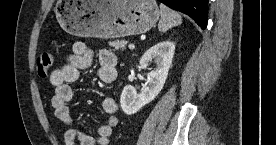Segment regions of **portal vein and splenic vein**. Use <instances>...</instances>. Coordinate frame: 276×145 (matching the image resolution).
Instances as JSON below:
<instances>
[{
    "label": "portal vein and splenic vein",
    "instance_id": "portal-vein-and-splenic-vein-1",
    "mask_svg": "<svg viewBox=\"0 0 276 145\" xmlns=\"http://www.w3.org/2000/svg\"><path fill=\"white\" fill-rule=\"evenodd\" d=\"M128 48H129L130 50H133V49H135V45H134V44H129Z\"/></svg>",
    "mask_w": 276,
    "mask_h": 145
}]
</instances>
